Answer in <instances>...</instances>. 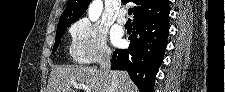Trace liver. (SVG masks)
<instances>
[{"instance_id":"liver-1","label":"liver","mask_w":225,"mask_h":92,"mask_svg":"<svg viewBox=\"0 0 225 92\" xmlns=\"http://www.w3.org/2000/svg\"><path fill=\"white\" fill-rule=\"evenodd\" d=\"M117 87L115 92H136V87L125 71H115ZM74 84H85L92 92H112L108 73L95 67L70 66L56 67L51 70L47 92H75Z\"/></svg>"}]
</instances>
